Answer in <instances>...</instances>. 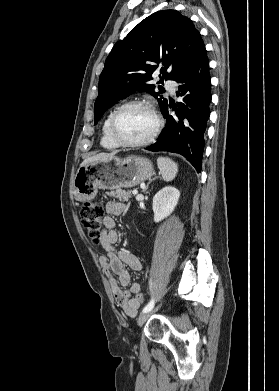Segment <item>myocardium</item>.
Masks as SVG:
<instances>
[{
  "label": "myocardium",
  "mask_w": 279,
  "mask_h": 391,
  "mask_svg": "<svg viewBox=\"0 0 279 391\" xmlns=\"http://www.w3.org/2000/svg\"><path fill=\"white\" fill-rule=\"evenodd\" d=\"M129 107H144L147 108L151 114L153 115L155 119V127L152 131V133L144 140L141 141H125L123 140L116 132V122L119 114L126 108ZM163 126V121L158 114L157 110L155 109L154 105L147 101V100H131L128 102L123 103L118 108H116L110 118L109 122V135L111 139L118 144L119 146L123 147H131V148H137V147H143L151 144L159 135L161 129Z\"/></svg>",
  "instance_id": "obj_1"
}]
</instances>
